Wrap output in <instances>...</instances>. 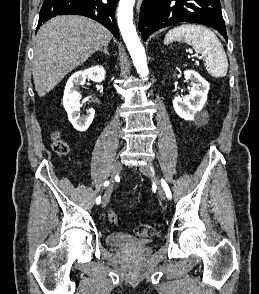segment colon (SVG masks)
Listing matches in <instances>:
<instances>
[{
	"label": "colon",
	"mask_w": 259,
	"mask_h": 294,
	"mask_svg": "<svg viewBox=\"0 0 259 294\" xmlns=\"http://www.w3.org/2000/svg\"><path fill=\"white\" fill-rule=\"evenodd\" d=\"M53 149L59 155H65L69 151L68 144L63 141L58 134L53 135ZM108 219L111 223L117 224L119 222L117 214L110 210L108 212ZM156 233V228L150 224H140L135 231L138 237L148 238Z\"/></svg>",
	"instance_id": "colon-1"
}]
</instances>
